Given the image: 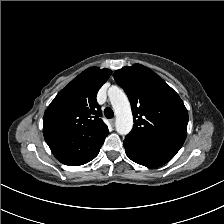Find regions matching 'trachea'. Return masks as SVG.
Wrapping results in <instances>:
<instances>
[{
  "label": "trachea",
  "instance_id": "obj_1",
  "mask_svg": "<svg viewBox=\"0 0 224 224\" xmlns=\"http://www.w3.org/2000/svg\"><path fill=\"white\" fill-rule=\"evenodd\" d=\"M104 115H105L106 118L111 119L114 116V112L111 108L107 107L104 110Z\"/></svg>",
  "mask_w": 224,
  "mask_h": 224
}]
</instances>
